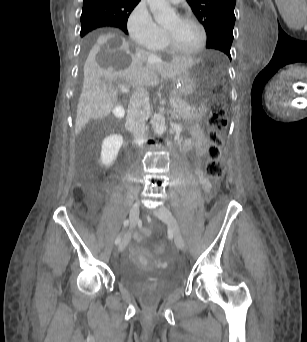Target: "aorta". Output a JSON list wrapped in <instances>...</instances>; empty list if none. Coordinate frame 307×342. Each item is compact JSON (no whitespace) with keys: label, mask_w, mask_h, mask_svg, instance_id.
Returning <instances> with one entry per match:
<instances>
[{"label":"aorta","mask_w":307,"mask_h":342,"mask_svg":"<svg viewBox=\"0 0 307 342\" xmlns=\"http://www.w3.org/2000/svg\"><path fill=\"white\" fill-rule=\"evenodd\" d=\"M147 4H149L150 12H152L153 18L157 24L167 26V24H172V22L178 20L174 8H171V4H169L167 0H147ZM152 128L155 134H164L166 130L165 118L160 112L159 114H154Z\"/></svg>","instance_id":"obj_1"}]
</instances>
